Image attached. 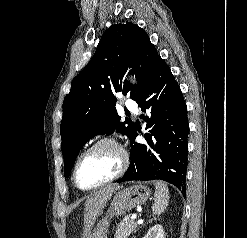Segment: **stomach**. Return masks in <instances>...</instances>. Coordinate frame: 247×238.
I'll list each match as a JSON object with an SVG mask.
<instances>
[{
  "label": "stomach",
  "instance_id": "stomach-1",
  "mask_svg": "<svg viewBox=\"0 0 247 238\" xmlns=\"http://www.w3.org/2000/svg\"><path fill=\"white\" fill-rule=\"evenodd\" d=\"M151 197V190L142 184L132 185L118 191L110 205L108 216L94 228L89 238H107L110 220L113 216H121L138 205L144 204Z\"/></svg>",
  "mask_w": 247,
  "mask_h": 238
}]
</instances>
